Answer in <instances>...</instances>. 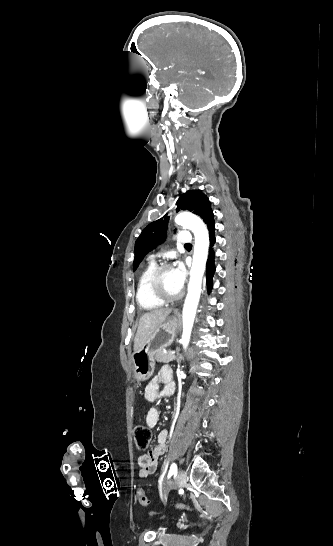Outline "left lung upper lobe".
<instances>
[{
  "label": "left lung upper lobe",
  "mask_w": 333,
  "mask_h": 546,
  "mask_svg": "<svg viewBox=\"0 0 333 546\" xmlns=\"http://www.w3.org/2000/svg\"><path fill=\"white\" fill-rule=\"evenodd\" d=\"M176 205V211L188 210L202 218L205 224L210 217L214 215L211 210L209 199L201 190L187 191L179 197ZM168 220L169 217L164 216L163 218L150 223L142 231L135 242L134 271L137 269L144 256L164 241Z\"/></svg>",
  "instance_id": "5c2ea615"
}]
</instances>
